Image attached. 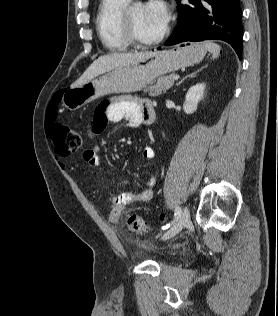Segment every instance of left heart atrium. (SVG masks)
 <instances>
[{
  "instance_id": "obj_1",
  "label": "left heart atrium",
  "mask_w": 278,
  "mask_h": 316,
  "mask_svg": "<svg viewBox=\"0 0 278 316\" xmlns=\"http://www.w3.org/2000/svg\"><path fill=\"white\" fill-rule=\"evenodd\" d=\"M148 16L156 23L166 27L170 20V10L164 0H149L145 4Z\"/></svg>"
}]
</instances>
